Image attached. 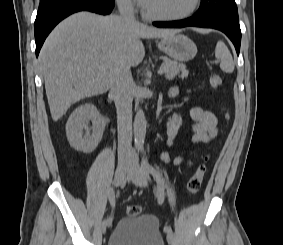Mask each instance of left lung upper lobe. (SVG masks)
I'll return each instance as SVG.
<instances>
[{"label": "left lung upper lobe", "instance_id": "1", "mask_svg": "<svg viewBox=\"0 0 283 245\" xmlns=\"http://www.w3.org/2000/svg\"><path fill=\"white\" fill-rule=\"evenodd\" d=\"M193 16L201 19L221 20L239 26L238 11L234 0H201V6Z\"/></svg>", "mask_w": 283, "mask_h": 245}]
</instances>
